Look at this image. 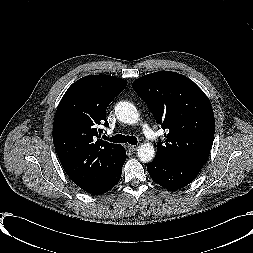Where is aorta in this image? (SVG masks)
I'll return each instance as SVG.
<instances>
[{"instance_id": "762f6f07", "label": "aorta", "mask_w": 253, "mask_h": 253, "mask_svg": "<svg viewBox=\"0 0 253 253\" xmlns=\"http://www.w3.org/2000/svg\"><path fill=\"white\" fill-rule=\"evenodd\" d=\"M115 114L118 120L126 124L137 123L139 117L136 107L132 103L126 101H121L116 104ZM137 151L138 157L142 162H151L155 157V149L150 143L142 144Z\"/></svg>"}]
</instances>
